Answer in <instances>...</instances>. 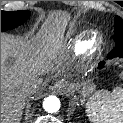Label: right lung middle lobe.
<instances>
[{"label":"right lung middle lobe","mask_w":123,"mask_h":123,"mask_svg":"<svg viewBox=\"0 0 123 123\" xmlns=\"http://www.w3.org/2000/svg\"><path fill=\"white\" fill-rule=\"evenodd\" d=\"M30 11H1V32L16 28L23 24L30 16Z\"/></svg>","instance_id":"dd1d6c3e"}]
</instances>
